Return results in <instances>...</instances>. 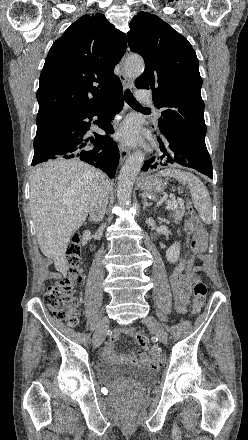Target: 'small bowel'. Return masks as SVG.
Returning <instances> with one entry per match:
<instances>
[{"label": "small bowel", "instance_id": "c3829d8e", "mask_svg": "<svg viewBox=\"0 0 248 440\" xmlns=\"http://www.w3.org/2000/svg\"><path fill=\"white\" fill-rule=\"evenodd\" d=\"M193 229L194 226L192 223H188L186 225L187 234H191ZM186 268L187 260L184 258L177 264L170 275V283L173 294L175 296L176 309L181 314H185L187 312L191 291L190 277L184 272ZM120 331L121 330H116L106 344L104 355L108 359H113L116 357L114 347L119 337ZM126 331L132 333L133 329L128 328L126 329ZM156 352V349L152 350L153 357L151 359L148 358L146 354L140 352L137 356V359L142 363H150L151 365H153V367L156 368L159 366V359L156 356Z\"/></svg>", "mask_w": 248, "mask_h": 440}]
</instances>
